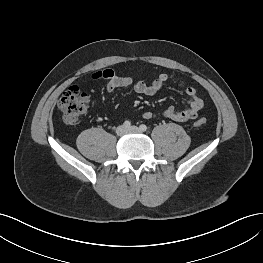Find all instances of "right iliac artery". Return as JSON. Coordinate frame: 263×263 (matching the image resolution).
<instances>
[{
    "instance_id": "right-iliac-artery-1",
    "label": "right iliac artery",
    "mask_w": 263,
    "mask_h": 263,
    "mask_svg": "<svg viewBox=\"0 0 263 263\" xmlns=\"http://www.w3.org/2000/svg\"><path fill=\"white\" fill-rule=\"evenodd\" d=\"M123 125L126 127V128H130L131 127V122L130 121H125L124 123H123Z\"/></svg>"
}]
</instances>
